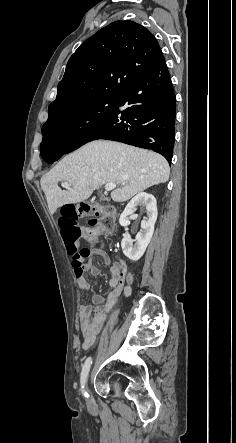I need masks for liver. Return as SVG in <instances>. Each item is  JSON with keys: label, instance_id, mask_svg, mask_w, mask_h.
Returning a JSON list of instances; mask_svg holds the SVG:
<instances>
[{"label": "liver", "instance_id": "6515ba94", "mask_svg": "<svg viewBox=\"0 0 236 443\" xmlns=\"http://www.w3.org/2000/svg\"><path fill=\"white\" fill-rule=\"evenodd\" d=\"M170 168L166 159L152 151L123 143L96 140L65 156L40 181L50 214L65 204L87 200L95 189L114 183L115 202H124L147 188L168 181ZM71 188L61 190L59 182Z\"/></svg>", "mask_w": 236, "mask_h": 443}]
</instances>
